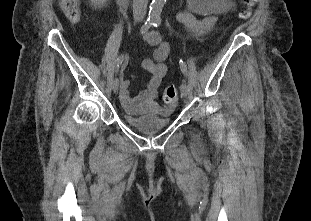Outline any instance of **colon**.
I'll use <instances>...</instances> for the list:
<instances>
[{"mask_svg":"<svg viewBox=\"0 0 311 221\" xmlns=\"http://www.w3.org/2000/svg\"><path fill=\"white\" fill-rule=\"evenodd\" d=\"M246 4L255 2V0H244ZM59 6L65 16L72 24H77L81 17V8L79 0H58ZM252 14L251 8H247L239 14V17L246 21ZM178 97L177 88L173 85H168L163 91V102L165 105H173L176 103Z\"/></svg>","mask_w":311,"mask_h":221,"instance_id":"obj_1","label":"colon"}]
</instances>
